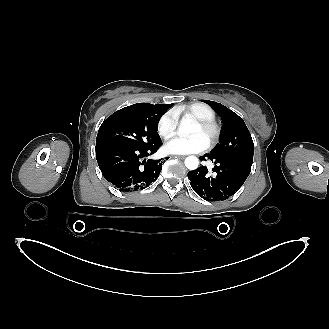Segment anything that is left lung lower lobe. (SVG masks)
Returning a JSON list of instances; mask_svg holds the SVG:
<instances>
[{"label":"left lung lower lobe","mask_w":329,"mask_h":329,"mask_svg":"<svg viewBox=\"0 0 329 329\" xmlns=\"http://www.w3.org/2000/svg\"><path fill=\"white\" fill-rule=\"evenodd\" d=\"M205 157L214 161V175H208L206 166L189 171L191 187L203 199L209 201H224L233 196L247 179L252 163L236 158H227L206 154Z\"/></svg>","instance_id":"left-lung-lower-lobe-1"}]
</instances>
